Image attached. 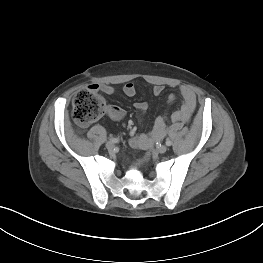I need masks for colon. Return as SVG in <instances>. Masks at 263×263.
I'll return each mask as SVG.
<instances>
[{
    "label": "colon",
    "instance_id": "colon-1",
    "mask_svg": "<svg viewBox=\"0 0 263 263\" xmlns=\"http://www.w3.org/2000/svg\"><path fill=\"white\" fill-rule=\"evenodd\" d=\"M106 110L105 100L96 89L81 90L73 99V118L81 126L97 121Z\"/></svg>",
    "mask_w": 263,
    "mask_h": 263
}]
</instances>
